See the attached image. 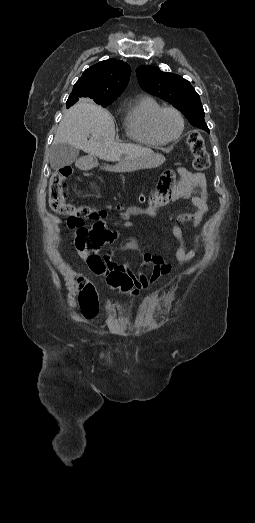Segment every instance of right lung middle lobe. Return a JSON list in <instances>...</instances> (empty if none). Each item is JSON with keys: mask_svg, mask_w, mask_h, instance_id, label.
Wrapping results in <instances>:
<instances>
[{"mask_svg": "<svg viewBox=\"0 0 255 523\" xmlns=\"http://www.w3.org/2000/svg\"><path fill=\"white\" fill-rule=\"evenodd\" d=\"M113 101H109V102H99L97 103L98 105H101L102 107H107L108 105H110Z\"/></svg>", "mask_w": 255, "mask_h": 523, "instance_id": "obj_1", "label": "right lung middle lobe"}]
</instances>
